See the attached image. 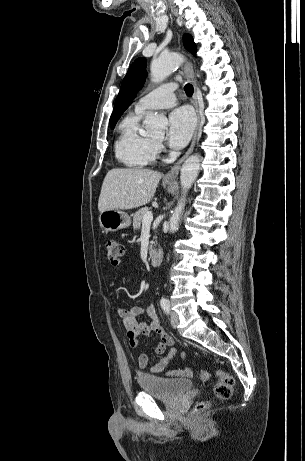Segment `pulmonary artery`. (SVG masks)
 <instances>
[{"label": "pulmonary artery", "instance_id": "pulmonary-artery-1", "mask_svg": "<svg viewBox=\"0 0 305 461\" xmlns=\"http://www.w3.org/2000/svg\"><path fill=\"white\" fill-rule=\"evenodd\" d=\"M176 89L177 84L169 82L151 90L137 101L135 104V110L143 113L151 109L169 108L174 106L176 103L174 91Z\"/></svg>", "mask_w": 305, "mask_h": 461}]
</instances>
